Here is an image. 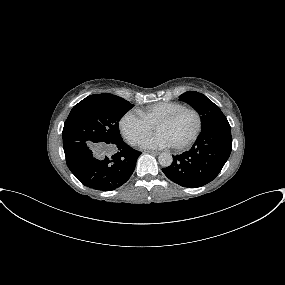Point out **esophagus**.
Returning <instances> with one entry per match:
<instances>
[{"label":"esophagus","instance_id":"esophagus-1","mask_svg":"<svg viewBox=\"0 0 285 285\" xmlns=\"http://www.w3.org/2000/svg\"><path fill=\"white\" fill-rule=\"evenodd\" d=\"M147 153H150L152 155H159V152L157 151H147Z\"/></svg>","mask_w":285,"mask_h":285}]
</instances>
